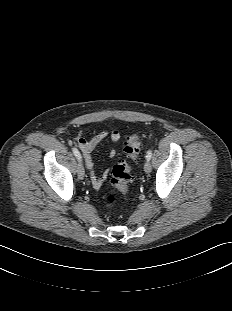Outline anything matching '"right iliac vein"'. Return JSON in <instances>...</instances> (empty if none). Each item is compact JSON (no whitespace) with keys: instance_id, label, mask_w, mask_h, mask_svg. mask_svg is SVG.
<instances>
[{"instance_id":"right-iliac-vein-1","label":"right iliac vein","mask_w":232,"mask_h":311,"mask_svg":"<svg viewBox=\"0 0 232 311\" xmlns=\"http://www.w3.org/2000/svg\"><path fill=\"white\" fill-rule=\"evenodd\" d=\"M77 172H78L79 178L83 179L85 175V170H84L83 163L81 161H79Z\"/></svg>"}]
</instances>
